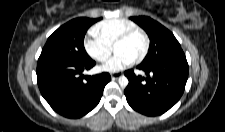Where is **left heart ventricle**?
Returning a JSON list of instances; mask_svg holds the SVG:
<instances>
[{
  "mask_svg": "<svg viewBox=\"0 0 225 132\" xmlns=\"http://www.w3.org/2000/svg\"><path fill=\"white\" fill-rule=\"evenodd\" d=\"M145 40L139 33L131 36L127 41L117 46L115 49L116 53H124L131 60L136 59L141 55L144 50Z\"/></svg>",
  "mask_w": 225,
  "mask_h": 132,
  "instance_id": "1",
  "label": "left heart ventricle"
}]
</instances>
